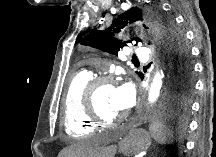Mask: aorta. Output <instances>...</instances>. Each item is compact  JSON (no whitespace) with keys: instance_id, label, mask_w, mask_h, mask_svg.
I'll return each instance as SVG.
<instances>
[{"instance_id":"762f6f07","label":"aorta","mask_w":216,"mask_h":157,"mask_svg":"<svg viewBox=\"0 0 216 157\" xmlns=\"http://www.w3.org/2000/svg\"><path fill=\"white\" fill-rule=\"evenodd\" d=\"M163 78H164V73L162 70L157 71L156 74L154 75V78L152 80V83H151V86L148 92L149 104L154 103L159 98L162 87H163Z\"/></svg>"}]
</instances>
